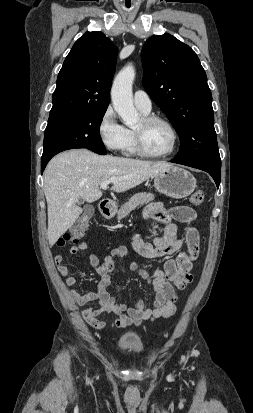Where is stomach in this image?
<instances>
[{
  "label": "stomach",
  "instance_id": "stomach-1",
  "mask_svg": "<svg viewBox=\"0 0 253 413\" xmlns=\"http://www.w3.org/2000/svg\"><path fill=\"white\" fill-rule=\"evenodd\" d=\"M156 190L174 199L190 196L196 188L194 176L180 167L166 168L154 176Z\"/></svg>",
  "mask_w": 253,
  "mask_h": 413
}]
</instances>
